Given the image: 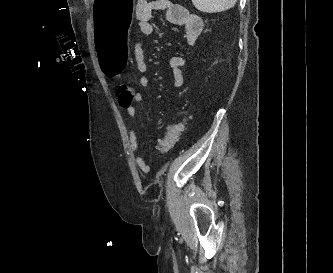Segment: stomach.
<instances>
[{
    "label": "stomach",
    "instance_id": "stomach-1",
    "mask_svg": "<svg viewBox=\"0 0 333 273\" xmlns=\"http://www.w3.org/2000/svg\"><path fill=\"white\" fill-rule=\"evenodd\" d=\"M133 4L134 0H94L95 38H128L135 23ZM94 51L100 75H125L130 65L128 39H95Z\"/></svg>",
    "mask_w": 333,
    "mask_h": 273
}]
</instances>
